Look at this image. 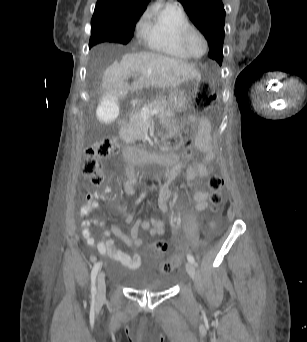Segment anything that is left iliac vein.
Here are the masks:
<instances>
[{
  "mask_svg": "<svg viewBox=\"0 0 307 342\" xmlns=\"http://www.w3.org/2000/svg\"><path fill=\"white\" fill-rule=\"evenodd\" d=\"M186 269H187V272H188L189 276H190L192 279H194V278H195V275H196L194 264L191 263V262H187V263H186Z\"/></svg>",
  "mask_w": 307,
  "mask_h": 342,
  "instance_id": "1",
  "label": "left iliac vein"
}]
</instances>
